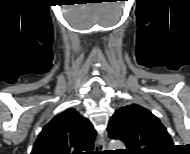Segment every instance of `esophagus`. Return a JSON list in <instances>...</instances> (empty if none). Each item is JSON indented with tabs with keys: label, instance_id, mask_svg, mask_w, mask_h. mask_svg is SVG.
<instances>
[{
	"label": "esophagus",
	"instance_id": "1",
	"mask_svg": "<svg viewBox=\"0 0 190 154\" xmlns=\"http://www.w3.org/2000/svg\"><path fill=\"white\" fill-rule=\"evenodd\" d=\"M95 149L99 153L105 152L106 149V138L104 135L97 136L95 140Z\"/></svg>",
	"mask_w": 190,
	"mask_h": 154
}]
</instances>
